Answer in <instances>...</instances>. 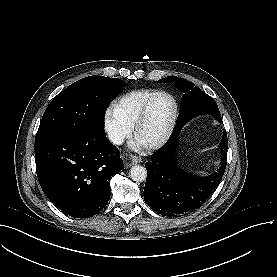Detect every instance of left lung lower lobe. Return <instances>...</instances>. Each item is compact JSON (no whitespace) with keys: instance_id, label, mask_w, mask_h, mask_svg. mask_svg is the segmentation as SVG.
I'll list each match as a JSON object with an SVG mask.
<instances>
[{"instance_id":"1","label":"left lung lower lobe","mask_w":277,"mask_h":277,"mask_svg":"<svg viewBox=\"0 0 277 277\" xmlns=\"http://www.w3.org/2000/svg\"><path fill=\"white\" fill-rule=\"evenodd\" d=\"M177 135L151 156L145 164L147 179L144 200L155 212L174 217L201 206L218 186L227 161L228 140L226 131L219 147L222 151L221 167L206 178L195 177L181 171L175 163Z\"/></svg>"}]
</instances>
